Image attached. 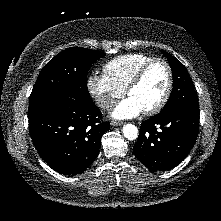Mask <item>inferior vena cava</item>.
<instances>
[{
	"instance_id": "602c4592",
	"label": "inferior vena cava",
	"mask_w": 221,
	"mask_h": 221,
	"mask_svg": "<svg viewBox=\"0 0 221 221\" xmlns=\"http://www.w3.org/2000/svg\"><path fill=\"white\" fill-rule=\"evenodd\" d=\"M97 104H98V106H100L101 108L106 109V110H111L115 105V103L108 98L99 99Z\"/></svg>"
}]
</instances>
